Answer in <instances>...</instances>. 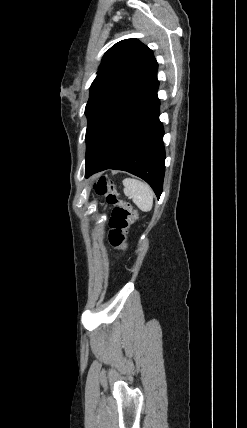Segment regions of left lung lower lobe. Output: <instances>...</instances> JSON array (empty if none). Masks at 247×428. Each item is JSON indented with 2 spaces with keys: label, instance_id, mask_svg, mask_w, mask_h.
I'll return each instance as SVG.
<instances>
[{
  "label": "left lung lower lobe",
  "instance_id": "left-lung-lower-lobe-1",
  "mask_svg": "<svg viewBox=\"0 0 247 428\" xmlns=\"http://www.w3.org/2000/svg\"><path fill=\"white\" fill-rule=\"evenodd\" d=\"M158 86L156 79L104 124L86 156V177L105 169L124 170L145 180L160 197L165 150Z\"/></svg>",
  "mask_w": 247,
  "mask_h": 428
}]
</instances>
